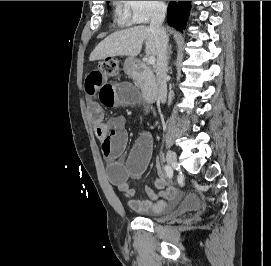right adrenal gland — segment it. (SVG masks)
<instances>
[{
  "instance_id": "1",
  "label": "right adrenal gland",
  "mask_w": 271,
  "mask_h": 266,
  "mask_svg": "<svg viewBox=\"0 0 271 266\" xmlns=\"http://www.w3.org/2000/svg\"><path fill=\"white\" fill-rule=\"evenodd\" d=\"M169 54H171V46L169 47Z\"/></svg>"
}]
</instances>
